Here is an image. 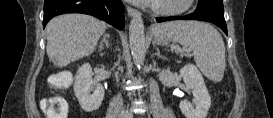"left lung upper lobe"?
<instances>
[{"instance_id": "1", "label": "left lung upper lobe", "mask_w": 273, "mask_h": 118, "mask_svg": "<svg viewBox=\"0 0 273 118\" xmlns=\"http://www.w3.org/2000/svg\"><path fill=\"white\" fill-rule=\"evenodd\" d=\"M195 11L216 14L224 17V7L222 0H199Z\"/></svg>"}]
</instances>
